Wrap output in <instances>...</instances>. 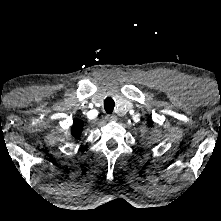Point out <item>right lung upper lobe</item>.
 Returning a JSON list of instances; mask_svg holds the SVG:
<instances>
[{"instance_id": "cb5924a9", "label": "right lung upper lobe", "mask_w": 221, "mask_h": 221, "mask_svg": "<svg viewBox=\"0 0 221 221\" xmlns=\"http://www.w3.org/2000/svg\"><path fill=\"white\" fill-rule=\"evenodd\" d=\"M83 130V122L79 119H77L71 128V134L74 138L78 139L81 135V132Z\"/></svg>"}]
</instances>
